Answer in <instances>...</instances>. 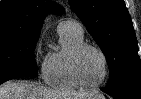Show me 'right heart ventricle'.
<instances>
[{
	"label": "right heart ventricle",
	"instance_id": "e07e8e85",
	"mask_svg": "<svg viewBox=\"0 0 141 99\" xmlns=\"http://www.w3.org/2000/svg\"><path fill=\"white\" fill-rule=\"evenodd\" d=\"M62 48L51 53L45 60L43 75L45 82L59 90H76L81 86L72 74L71 56L77 46L83 43V35L61 33Z\"/></svg>",
	"mask_w": 141,
	"mask_h": 99
}]
</instances>
